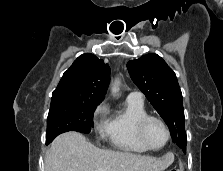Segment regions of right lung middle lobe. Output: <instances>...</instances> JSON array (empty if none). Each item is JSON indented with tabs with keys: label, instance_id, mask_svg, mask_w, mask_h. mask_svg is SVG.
Segmentation results:
<instances>
[{
	"label": "right lung middle lobe",
	"instance_id": "right-lung-middle-lobe-1",
	"mask_svg": "<svg viewBox=\"0 0 223 171\" xmlns=\"http://www.w3.org/2000/svg\"><path fill=\"white\" fill-rule=\"evenodd\" d=\"M100 102L64 99L51 101L47 118L46 144L68 131L89 134L94 127L93 113Z\"/></svg>",
	"mask_w": 223,
	"mask_h": 171
}]
</instances>
